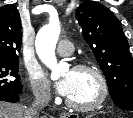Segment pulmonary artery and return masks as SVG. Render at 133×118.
Segmentation results:
<instances>
[{
  "instance_id": "pulmonary-artery-1",
  "label": "pulmonary artery",
  "mask_w": 133,
  "mask_h": 118,
  "mask_svg": "<svg viewBox=\"0 0 133 118\" xmlns=\"http://www.w3.org/2000/svg\"><path fill=\"white\" fill-rule=\"evenodd\" d=\"M74 46L69 40H61L57 46V53L61 57L70 56L73 53Z\"/></svg>"
}]
</instances>
